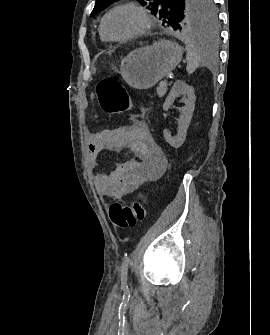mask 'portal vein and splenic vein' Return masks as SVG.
<instances>
[{"mask_svg": "<svg viewBox=\"0 0 270 335\" xmlns=\"http://www.w3.org/2000/svg\"><path fill=\"white\" fill-rule=\"evenodd\" d=\"M172 73H173V72L170 70V71L168 72V74L165 76L166 82H169V79H170Z\"/></svg>", "mask_w": 270, "mask_h": 335, "instance_id": "18ae733b", "label": "portal vein and splenic vein"}]
</instances>
